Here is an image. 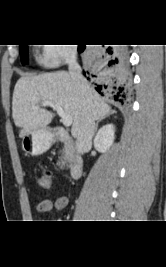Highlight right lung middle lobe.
I'll use <instances>...</instances> for the list:
<instances>
[{"label": "right lung middle lobe", "mask_w": 166, "mask_h": 267, "mask_svg": "<svg viewBox=\"0 0 166 267\" xmlns=\"http://www.w3.org/2000/svg\"><path fill=\"white\" fill-rule=\"evenodd\" d=\"M20 56L22 64H27L28 63L27 45H20Z\"/></svg>", "instance_id": "obj_1"}]
</instances>
